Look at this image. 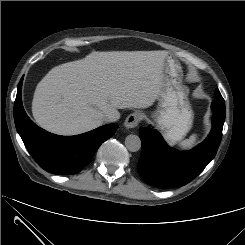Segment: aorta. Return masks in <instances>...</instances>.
I'll use <instances>...</instances> for the list:
<instances>
[{
  "mask_svg": "<svg viewBox=\"0 0 245 245\" xmlns=\"http://www.w3.org/2000/svg\"><path fill=\"white\" fill-rule=\"evenodd\" d=\"M125 146L131 152H137L141 149V140L139 136L130 134L125 139Z\"/></svg>",
  "mask_w": 245,
  "mask_h": 245,
  "instance_id": "aorta-1",
  "label": "aorta"
}]
</instances>
